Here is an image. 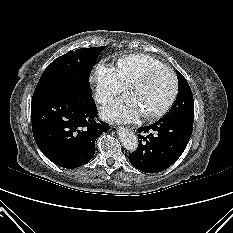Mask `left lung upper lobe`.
Instances as JSON below:
<instances>
[{"mask_svg": "<svg viewBox=\"0 0 233 233\" xmlns=\"http://www.w3.org/2000/svg\"><path fill=\"white\" fill-rule=\"evenodd\" d=\"M179 84L178 95L174 105L165 117H171L177 120L193 124L194 122V100L190 86L183 75L177 71Z\"/></svg>", "mask_w": 233, "mask_h": 233, "instance_id": "5c2ea615", "label": "left lung upper lobe"}]
</instances>
